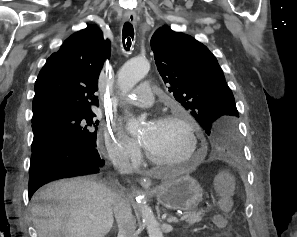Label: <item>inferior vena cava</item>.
Segmentation results:
<instances>
[{
	"instance_id": "inferior-vena-cava-1",
	"label": "inferior vena cava",
	"mask_w": 297,
	"mask_h": 237,
	"mask_svg": "<svg viewBox=\"0 0 297 237\" xmlns=\"http://www.w3.org/2000/svg\"><path fill=\"white\" fill-rule=\"evenodd\" d=\"M122 174L129 173L126 167H120ZM113 210L118 224L119 237H138L136 221L132 216V210L128 201L116 194L113 198Z\"/></svg>"
}]
</instances>
